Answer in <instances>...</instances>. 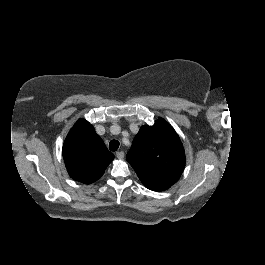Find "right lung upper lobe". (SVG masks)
<instances>
[{
	"label": "right lung upper lobe",
	"instance_id": "cb5924a9",
	"mask_svg": "<svg viewBox=\"0 0 265 265\" xmlns=\"http://www.w3.org/2000/svg\"><path fill=\"white\" fill-rule=\"evenodd\" d=\"M62 153L70 177L85 184L98 180L114 159L93 126L84 119L70 130Z\"/></svg>",
	"mask_w": 265,
	"mask_h": 265
}]
</instances>
